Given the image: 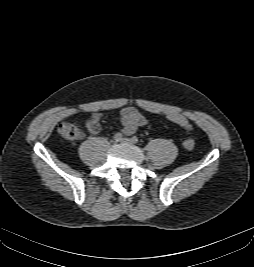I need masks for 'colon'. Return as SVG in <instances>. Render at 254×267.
Returning a JSON list of instances; mask_svg holds the SVG:
<instances>
[{"label":"colon","instance_id":"5ec220e1","mask_svg":"<svg viewBox=\"0 0 254 267\" xmlns=\"http://www.w3.org/2000/svg\"><path fill=\"white\" fill-rule=\"evenodd\" d=\"M168 119L180 125L187 132L192 130V126L189 123L188 119L180 114H170L168 115ZM90 126V122L88 123V128ZM60 135L70 142H77L84 138L85 134L82 127L77 122H65L59 126L58 129ZM183 147L186 150H193L195 147V141L191 137H186L183 141Z\"/></svg>","mask_w":254,"mask_h":267}]
</instances>
